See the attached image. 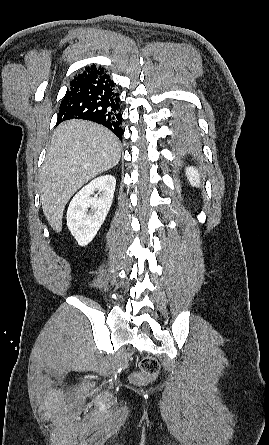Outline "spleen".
Returning a JSON list of instances; mask_svg holds the SVG:
<instances>
[{
  "label": "spleen",
  "instance_id": "obj_1",
  "mask_svg": "<svg viewBox=\"0 0 269 445\" xmlns=\"http://www.w3.org/2000/svg\"><path fill=\"white\" fill-rule=\"evenodd\" d=\"M187 178L192 186L199 187L201 183V176L198 170L193 167L187 168L186 170Z\"/></svg>",
  "mask_w": 269,
  "mask_h": 445
}]
</instances>
